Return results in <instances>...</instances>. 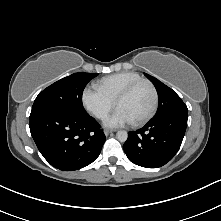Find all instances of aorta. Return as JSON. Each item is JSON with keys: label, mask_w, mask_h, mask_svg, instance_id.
I'll return each mask as SVG.
<instances>
[{"label": "aorta", "mask_w": 221, "mask_h": 221, "mask_svg": "<svg viewBox=\"0 0 221 221\" xmlns=\"http://www.w3.org/2000/svg\"><path fill=\"white\" fill-rule=\"evenodd\" d=\"M116 137L120 142H125L128 139V133L124 130H120L117 132Z\"/></svg>", "instance_id": "762f6f07"}]
</instances>
